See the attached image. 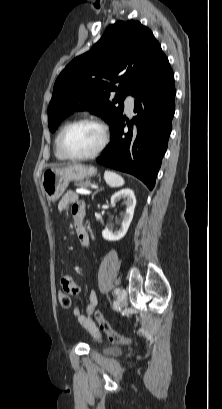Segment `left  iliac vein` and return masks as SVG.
Segmentation results:
<instances>
[{"label":"left iliac vein","instance_id":"obj_1","mask_svg":"<svg viewBox=\"0 0 222 409\" xmlns=\"http://www.w3.org/2000/svg\"><path fill=\"white\" fill-rule=\"evenodd\" d=\"M127 304V292L125 290L120 291V297H119V308L125 307Z\"/></svg>","mask_w":222,"mask_h":409}]
</instances>
